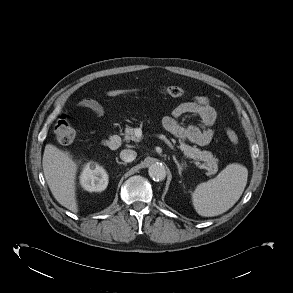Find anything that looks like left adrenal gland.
I'll list each match as a JSON object with an SVG mask.
<instances>
[{
    "instance_id": "left-adrenal-gland-1",
    "label": "left adrenal gland",
    "mask_w": 293,
    "mask_h": 293,
    "mask_svg": "<svg viewBox=\"0 0 293 293\" xmlns=\"http://www.w3.org/2000/svg\"><path fill=\"white\" fill-rule=\"evenodd\" d=\"M173 160H174V162H175V164L177 165V168H178V172H179V175L181 176L182 175V171L185 169V164H180L178 161H177V159H176V157L175 156H173Z\"/></svg>"
}]
</instances>
